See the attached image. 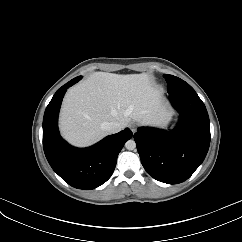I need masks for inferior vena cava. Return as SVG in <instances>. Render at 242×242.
Listing matches in <instances>:
<instances>
[{
    "instance_id": "1",
    "label": "inferior vena cava",
    "mask_w": 242,
    "mask_h": 242,
    "mask_svg": "<svg viewBox=\"0 0 242 242\" xmlns=\"http://www.w3.org/2000/svg\"><path fill=\"white\" fill-rule=\"evenodd\" d=\"M104 128L108 133L113 134L121 131L123 129V125L117 121H112L106 123Z\"/></svg>"
}]
</instances>
